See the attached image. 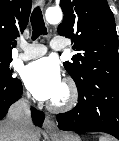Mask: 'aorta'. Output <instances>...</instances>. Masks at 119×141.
I'll return each instance as SVG.
<instances>
[{
  "label": "aorta",
  "instance_id": "obj_1",
  "mask_svg": "<svg viewBox=\"0 0 119 141\" xmlns=\"http://www.w3.org/2000/svg\"><path fill=\"white\" fill-rule=\"evenodd\" d=\"M45 16L48 23L57 24L62 20V11L59 8H48Z\"/></svg>",
  "mask_w": 119,
  "mask_h": 141
}]
</instances>
